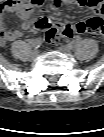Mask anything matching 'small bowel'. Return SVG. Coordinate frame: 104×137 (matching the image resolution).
Instances as JSON below:
<instances>
[{"label": "small bowel", "mask_w": 104, "mask_h": 137, "mask_svg": "<svg viewBox=\"0 0 104 137\" xmlns=\"http://www.w3.org/2000/svg\"><path fill=\"white\" fill-rule=\"evenodd\" d=\"M54 3L53 8H56L63 4H72L79 7H87L93 10L95 13V17H100L104 13V5L103 0H51ZM44 0H7L1 6V27L5 30V37L2 39V43L4 44L7 41L16 40L21 36V32L14 29H8L6 21L3 15L7 12L16 11L20 20V26L22 29L26 30L32 26H36L38 22L44 20L46 24H53L50 19L46 17V11H43L41 16L38 18L33 17V10L43 4ZM88 20H81L73 24H68V26L78 33H86L84 32V28L87 26ZM54 25V24H53ZM38 28V27H37ZM92 34V33H90ZM93 35V34H92Z\"/></svg>", "instance_id": "c3829d8e"}]
</instances>
